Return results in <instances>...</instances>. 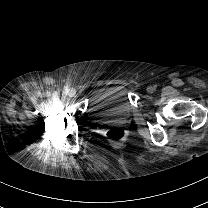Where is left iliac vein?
<instances>
[{"mask_svg": "<svg viewBox=\"0 0 208 208\" xmlns=\"http://www.w3.org/2000/svg\"><path fill=\"white\" fill-rule=\"evenodd\" d=\"M155 91V88L154 87H152V86H148L147 87V92L148 93H153Z\"/></svg>", "mask_w": 208, "mask_h": 208, "instance_id": "4c4485c4", "label": "left iliac vein"}]
</instances>
